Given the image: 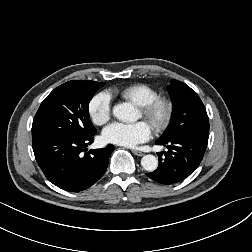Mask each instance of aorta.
Masks as SVG:
<instances>
[{
    "mask_svg": "<svg viewBox=\"0 0 252 252\" xmlns=\"http://www.w3.org/2000/svg\"><path fill=\"white\" fill-rule=\"evenodd\" d=\"M113 115L121 121H136L137 112L131 103H121L113 107ZM141 166L149 172L158 167V160L154 155L148 154L142 157Z\"/></svg>",
    "mask_w": 252,
    "mask_h": 252,
    "instance_id": "762f6f07",
    "label": "aorta"
}]
</instances>
